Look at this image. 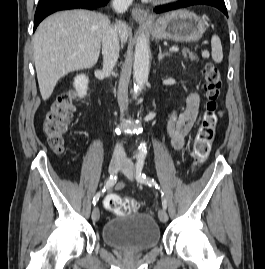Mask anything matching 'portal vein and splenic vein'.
<instances>
[{
	"label": "portal vein and splenic vein",
	"mask_w": 265,
	"mask_h": 269,
	"mask_svg": "<svg viewBox=\"0 0 265 269\" xmlns=\"http://www.w3.org/2000/svg\"><path fill=\"white\" fill-rule=\"evenodd\" d=\"M170 51L171 52H178L179 51V48L178 47H171L170 48Z\"/></svg>",
	"instance_id": "18ae733b"
}]
</instances>
